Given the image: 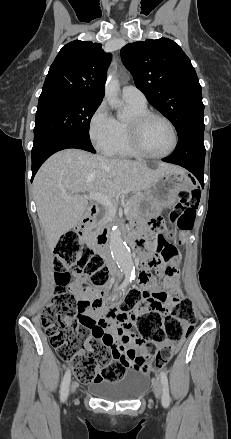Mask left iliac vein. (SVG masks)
I'll list each match as a JSON object with an SVG mask.
<instances>
[{
    "mask_svg": "<svg viewBox=\"0 0 231 439\" xmlns=\"http://www.w3.org/2000/svg\"><path fill=\"white\" fill-rule=\"evenodd\" d=\"M153 392L157 399L161 398L162 387L160 381L157 378H155L153 381Z\"/></svg>",
    "mask_w": 231,
    "mask_h": 439,
    "instance_id": "1",
    "label": "left iliac vein"
}]
</instances>
